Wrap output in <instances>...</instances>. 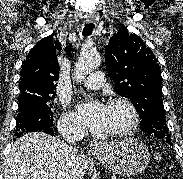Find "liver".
Here are the masks:
<instances>
[{
  "label": "liver",
  "mask_w": 183,
  "mask_h": 179,
  "mask_svg": "<svg viewBox=\"0 0 183 179\" xmlns=\"http://www.w3.org/2000/svg\"><path fill=\"white\" fill-rule=\"evenodd\" d=\"M80 171L88 162L79 154ZM3 179H70L67 145L46 133H28L17 139L7 156Z\"/></svg>",
  "instance_id": "obj_1"
}]
</instances>
